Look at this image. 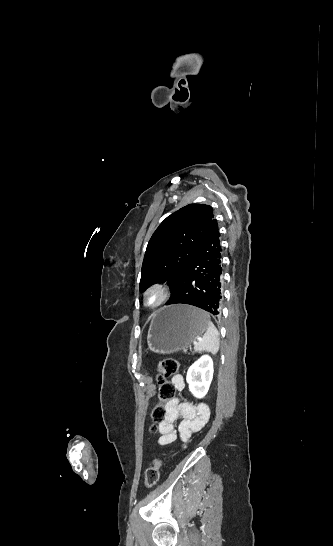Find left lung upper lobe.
<instances>
[{
	"mask_svg": "<svg viewBox=\"0 0 333 546\" xmlns=\"http://www.w3.org/2000/svg\"><path fill=\"white\" fill-rule=\"evenodd\" d=\"M213 222V209L204 204H189L168 216L147 245L140 290L167 282L173 292Z\"/></svg>",
	"mask_w": 333,
	"mask_h": 546,
	"instance_id": "left-lung-upper-lobe-1",
	"label": "left lung upper lobe"
}]
</instances>
